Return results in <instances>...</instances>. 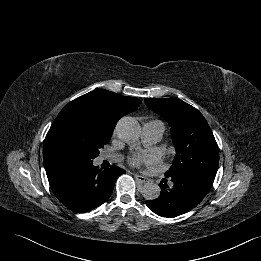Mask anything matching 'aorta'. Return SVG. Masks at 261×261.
Returning a JSON list of instances; mask_svg holds the SVG:
<instances>
[{
  "label": "aorta",
  "mask_w": 261,
  "mask_h": 261,
  "mask_svg": "<svg viewBox=\"0 0 261 261\" xmlns=\"http://www.w3.org/2000/svg\"><path fill=\"white\" fill-rule=\"evenodd\" d=\"M116 131L122 141L133 144L138 141L141 135V126L136 119L124 117L118 122ZM141 192L146 200H155L159 197L161 189L151 181L144 184Z\"/></svg>",
  "instance_id": "762f6f07"
}]
</instances>
